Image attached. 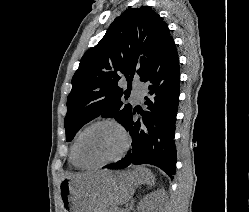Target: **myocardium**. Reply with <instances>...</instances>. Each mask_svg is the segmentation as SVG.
I'll list each match as a JSON object with an SVG mask.
<instances>
[{
	"mask_svg": "<svg viewBox=\"0 0 249 212\" xmlns=\"http://www.w3.org/2000/svg\"><path fill=\"white\" fill-rule=\"evenodd\" d=\"M103 125L112 126L119 132V134L122 138V141H123L121 150L119 151V153L116 156H114L106 161H103V162H100L97 164H85L80 160V158L78 156L79 142L88 131H90L96 127H99V126H103ZM131 144H132V138H131L130 132L128 131V129L125 127V125L123 123H121L120 121L113 119V118H102V119L96 120V121L90 123L89 125H87L77 135V137L75 138L74 143H73V157H74L76 164L83 169H99V168L106 167L108 165H111V164L116 163L119 160H121L128 153V151L131 147Z\"/></svg>",
	"mask_w": 249,
	"mask_h": 212,
	"instance_id": "1",
	"label": "myocardium"
}]
</instances>
